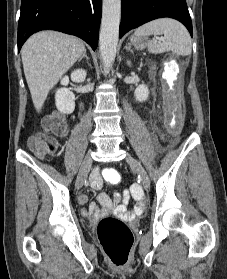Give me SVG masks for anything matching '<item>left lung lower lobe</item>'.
Wrapping results in <instances>:
<instances>
[{"mask_svg":"<svg viewBox=\"0 0 227 279\" xmlns=\"http://www.w3.org/2000/svg\"><path fill=\"white\" fill-rule=\"evenodd\" d=\"M121 7L119 37L131 29L162 17L180 21L193 36L186 0H121Z\"/></svg>","mask_w":227,"mask_h":279,"instance_id":"0a47b994","label":"left lung lower lobe"}]
</instances>
